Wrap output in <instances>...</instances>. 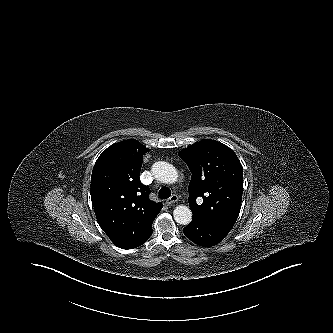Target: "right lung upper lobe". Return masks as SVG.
<instances>
[{
	"label": "right lung upper lobe",
	"instance_id": "1",
	"mask_svg": "<svg viewBox=\"0 0 333 333\" xmlns=\"http://www.w3.org/2000/svg\"><path fill=\"white\" fill-rule=\"evenodd\" d=\"M148 151L134 139L118 142L99 156L92 171L91 200L97 221L122 249L136 248L148 240L163 207L149 200L150 190L139 179Z\"/></svg>",
	"mask_w": 333,
	"mask_h": 333
}]
</instances>
